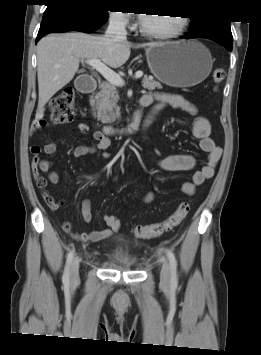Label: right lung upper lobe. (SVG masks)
Returning <instances> with one entry per match:
<instances>
[{
    "instance_id": "obj_1",
    "label": "right lung upper lobe",
    "mask_w": 261,
    "mask_h": 355,
    "mask_svg": "<svg viewBox=\"0 0 261 355\" xmlns=\"http://www.w3.org/2000/svg\"><path fill=\"white\" fill-rule=\"evenodd\" d=\"M49 4L53 3H76L84 0H47Z\"/></svg>"
}]
</instances>
